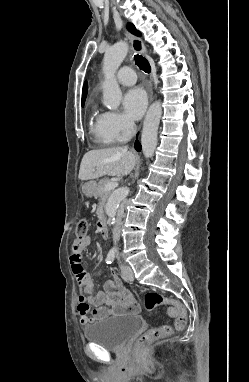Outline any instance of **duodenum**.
Returning a JSON list of instances; mask_svg holds the SVG:
<instances>
[{
    "instance_id": "duodenum-1",
    "label": "duodenum",
    "mask_w": 249,
    "mask_h": 382,
    "mask_svg": "<svg viewBox=\"0 0 249 382\" xmlns=\"http://www.w3.org/2000/svg\"><path fill=\"white\" fill-rule=\"evenodd\" d=\"M98 230L102 237L108 238L109 236V231H108V225L107 222L104 218H101L98 222Z\"/></svg>"
}]
</instances>
